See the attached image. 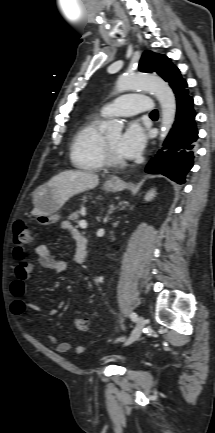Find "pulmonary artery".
<instances>
[{
	"mask_svg": "<svg viewBox=\"0 0 215 433\" xmlns=\"http://www.w3.org/2000/svg\"><path fill=\"white\" fill-rule=\"evenodd\" d=\"M154 110L151 97L140 93H130L104 105L101 112L104 116L110 117L151 113Z\"/></svg>",
	"mask_w": 215,
	"mask_h": 433,
	"instance_id": "e3ab8cb5",
	"label": "pulmonary artery"
}]
</instances>
